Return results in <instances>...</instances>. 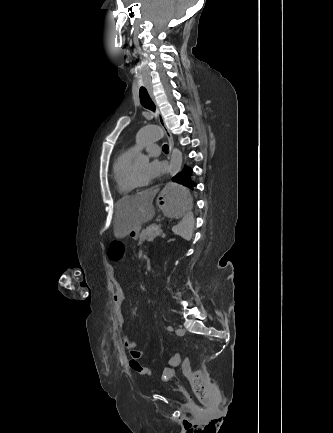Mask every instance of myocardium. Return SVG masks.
Instances as JSON below:
<instances>
[{
    "instance_id": "f54148a6",
    "label": "myocardium",
    "mask_w": 333,
    "mask_h": 433,
    "mask_svg": "<svg viewBox=\"0 0 333 433\" xmlns=\"http://www.w3.org/2000/svg\"><path fill=\"white\" fill-rule=\"evenodd\" d=\"M126 182L132 189H140L147 186V183H137L135 180L134 163L132 162L126 173Z\"/></svg>"
}]
</instances>
